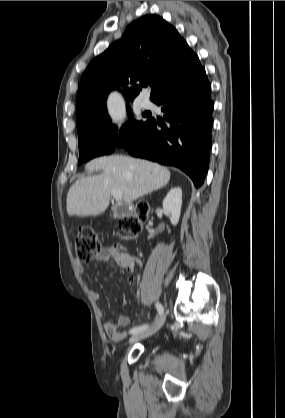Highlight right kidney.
<instances>
[{"instance_id": "ca27d5eb", "label": "right kidney", "mask_w": 285, "mask_h": 418, "mask_svg": "<svg viewBox=\"0 0 285 418\" xmlns=\"http://www.w3.org/2000/svg\"><path fill=\"white\" fill-rule=\"evenodd\" d=\"M182 206V190L180 187L172 188L163 201V209L170 214L173 225L179 222Z\"/></svg>"}]
</instances>
